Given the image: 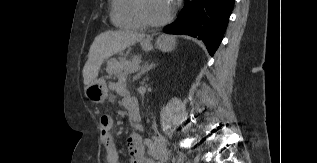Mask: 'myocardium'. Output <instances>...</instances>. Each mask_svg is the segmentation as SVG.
Instances as JSON below:
<instances>
[{
	"label": "myocardium",
	"instance_id": "myocardium-1",
	"mask_svg": "<svg viewBox=\"0 0 317 163\" xmlns=\"http://www.w3.org/2000/svg\"><path fill=\"white\" fill-rule=\"evenodd\" d=\"M136 9H137V13H138V16L141 19V21L146 26H150V27H161V26L168 24L172 20L174 14H175V8L172 7L170 13L164 19L158 20V21L153 20L147 14V11L145 8V0H136Z\"/></svg>",
	"mask_w": 317,
	"mask_h": 163
}]
</instances>
